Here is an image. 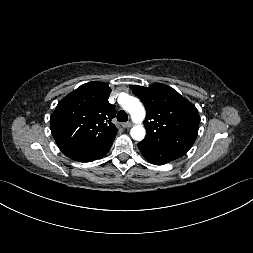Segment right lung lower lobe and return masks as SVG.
<instances>
[{
	"mask_svg": "<svg viewBox=\"0 0 253 253\" xmlns=\"http://www.w3.org/2000/svg\"><path fill=\"white\" fill-rule=\"evenodd\" d=\"M115 137L94 147L82 150L70 158L79 162H92L102 158L110 149Z\"/></svg>",
	"mask_w": 253,
	"mask_h": 253,
	"instance_id": "1",
	"label": "right lung lower lobe"
}]
</instances>
